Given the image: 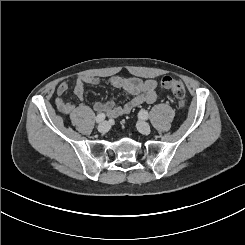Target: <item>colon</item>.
I'll use <instances>...</instances> for the list:
<instances>
[{
	"label": "colon",
	"mask_w": 245,
	"mask_h": 245,
	"mask_svg": "<svg viewBox=\"0 0 245 245\" xmlns=\"http://www.w3.org/2000/svg\"><path fill=\"white\" fill-rule=\"evenodd\" d=\"M165 89L172 92L178 99L179 106L183 107L185 104L186 88L181 79L176 76H164L159 81Z\"/></svg>",
	"instance_id": "colon-1"
}]
</instances>
